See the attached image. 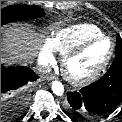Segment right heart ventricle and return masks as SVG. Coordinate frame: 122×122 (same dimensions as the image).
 I'll return each mask as SVG.
<instances>
[{
  "instance_id": "e07e8e85",
  "label": "right heart ventricle",
  "mask_w": 122,
  "mask_h": 122,
  "mask_svg": "<svg viewBox=\"0 0 122 122\" xmlns=\"http://www.w3.org/2000/svg\"><path fill=\"white\" fill-rule=\"evenodd\" d=\"M102 35L104 33L96 25L81 23L57 30L51 41L55 50L64 55L82 42Z\"/></svg>"
}]
</instances>
